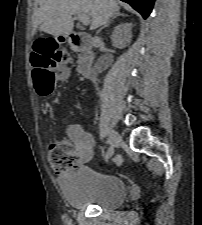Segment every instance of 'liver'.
I'll use <instances>...</instances> for the list:
<instances>
[{"label": "liver", "instance_id": "6515ba94", "mask_svg": "<svg viewBox=\"0 0 202 225\" xmlns=\"http://www.w3.org/2000/svg\"><path fill=\"white\" fill-rule=\"evenodd\" d=\"M119 10L116 0H45L34 20V33L39 30L54 36H67L74 27L72 15L80 13L91 16L90 29L94 30Z\"/></svg>", "mask_w": 202, "mask_h": 225}]
</instances>
